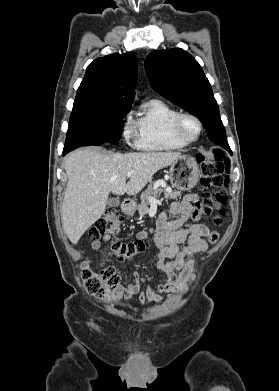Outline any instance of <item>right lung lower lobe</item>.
Segmentation results:
<instances>
[{
    "instance_id": "1",
    "label": "right lung lower lobe",
    "mask_w": 279,
    "mask_h": 391,
    "mask_svg": "<svg viewBox=\"0 0 279 391\" xmlns=\"http://www.w3.org/2000/svg\"><path fill=\"white\" fill-rule=\"evenodd\" d=\"M66 153H68L67 151H63L62 155L64 156Z\"/></svg>"
}]
</instances>
